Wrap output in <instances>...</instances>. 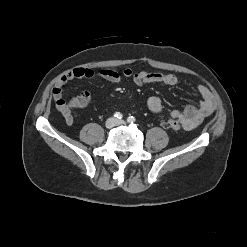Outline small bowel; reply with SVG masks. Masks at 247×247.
<instances>
[{
    "label": "small bowel",
    "mask_w": 247,
    "mask_h": 247,
    "mask_svg": "<svg viewBox=\"0 0 247 247\" xmlns=\"http://www.w3.org/2000/svg\"><path fill=\"white\" fill-rule=\"evenodd\" d=\"M98 75L111 83H120L122 79H130L137 86L144 84H159V85H175L178 83V78L173 74H165L152 71L134 72L130 68H126L122 73L114 70L103 69ZM95 72L89 68H75L62 76L53 88V99L57 110L63 116L67 125H71L74 121L72 114V106L67 103L64 98V87L74 79L92 78ZM198 92L201 95V100L197 106L188 105L182 111L170 110L168 114L177 119L186 130L196 128L202 120L212 114L215 110V100L211 91L204 85H198ZM147 106L152 113L159 114L163 112V104L161 99L152 96L147 100Z\"/></svg>",
    "instance_id": "1"
}]
</instances>
